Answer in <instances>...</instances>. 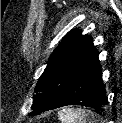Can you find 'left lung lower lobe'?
<instances>
[{"label":"left lung lower lobe","instance_id":"obj_1","mask_svg":"<svg viewBox=\"0 0 122 123\" xmlns=\"http://www.w3.org/2000/svg\"><path fill=\"white\" fill-rule=\"evenodd\" d=\"M97 56L80 70L65 92L48 110L68 105H82L100 110L106 104V91Z\"/></svg>","mask_w":122,"mask_h":123}]
</instances>
